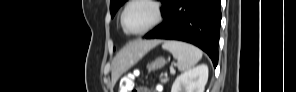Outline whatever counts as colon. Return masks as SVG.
Here are the masks:
<instances>
[{
    "instance_id": "5ec220e1",
    "label": "colon",
    "mask_w": 296,
    "mask_h": 92,
    "mask_svg": "<svg viewBox=\"0 0 296 92\" xmlns=\"http://www.w3.org/2000/svg\"><path fill=\"white\" fill-rule=\"evenodd\" d=\"M136 73H129L123 76L119 83V91L120 92H149L148 89L144 87H136L135 86V78Z\"/></svg>"
}]
</instances>
